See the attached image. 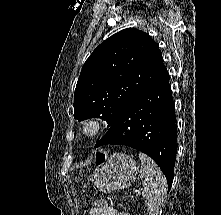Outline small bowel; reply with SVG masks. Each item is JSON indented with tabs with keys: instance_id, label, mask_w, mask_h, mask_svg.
<instances>
[{
	"instance_id": "small-bowel-1",
	"label": "small bowel",
	"mask_w": 221,
	"mask_h": 215,
	"mask_svg": "<svg viewBox=\"0 0 221 215\" xmlns=\"http://www.w3.org/2000/svg\"><path fill=\"white\" fill-rule=\"evenodd\" d=\"M87 215H129L114 207H98L89 211Z\"/></svg>"
}]
</instances>
